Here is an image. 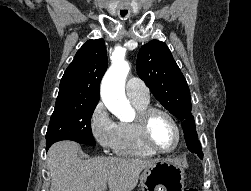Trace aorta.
Masks as SVG:
<instances>
[{
  "mask_svg": "<svg viewBox=\"0 0 251 191\" xmlns=\"http://www.w3.org/2000/svg\"><path fill=\"white\" fill-rule=\"evenodd\" d=\"M130 72L128 62L122 56H113L112 66L107 70L101 84V97L111 113L121 121H130L133 109L125 96V80Z\"/></svg>",
  "mask_w": 251,
  "mask_h": 191,
  "instance_id": "762f6f07",
  "label": "aorta"
}]
</instances>
